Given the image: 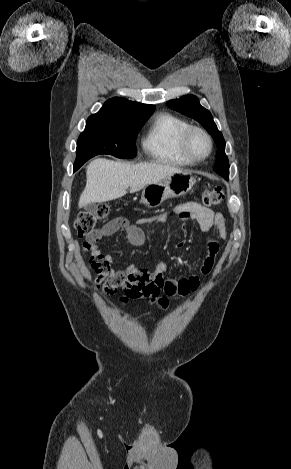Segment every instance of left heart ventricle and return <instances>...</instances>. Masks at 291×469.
I'll list each match as a JSON object with an SVG mask.
<instances>
[{"instance_id": "obj_1", "label": "left heart ventricle", "mask_w": 291, "mask_h": 469, "mask_svg": "<svg viewBox=\"0 0 291 469\" xmlns=\"http://www.w3.org/2000/svg\"><path fill=\"white\" fill-rule=\"evenodd\" d=\"M209 145L206 138L199 132H195L190 140V149L198 157L204 156L208 151Z\"/></svg>"}]
</instances>
